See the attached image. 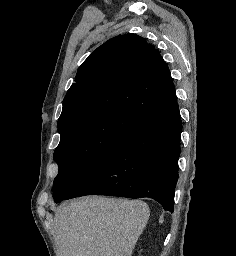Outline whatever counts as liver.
<instances>
[{"label":"liver","mask_w":236,"mask_h":256,"mask_svg":"<svg viewBox=\"0 0 236 256\" xmlns=\"http://www.w3.org/2000/svg\"><path fill=\"white\" fill-rule=\"evenodd\" d=\"M141 200L85 196L60 204L53 230L57 256H132L149 220Z\"/></svg>","instance_id":"6515ba94"}]
</instances>
